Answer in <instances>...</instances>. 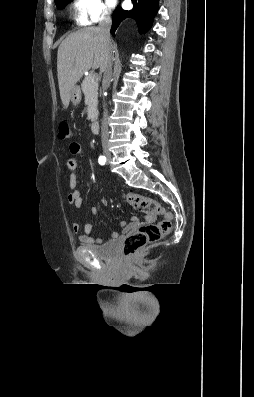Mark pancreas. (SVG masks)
Returning a JSON list of instances; mask_svg holds the SVG:
<instances>
[{
	"label": "pancreas",
	"mask_w": 254,
	"mask_h": 397,
	"mask_svg": "<svg viewBox=\"0 0 254 397\" xmlns=\"http://www.w3.org/2000/svg\"><path fill=\"white\" fill-rule=\"evenodd\" d=\"M98 78L93 79V75H88L82 81L81 87L87 104L88 120L93 121L97 116L98 102Z\"/></svg>",
	"instance_id": "pancreas-1"
}]
</instances>
